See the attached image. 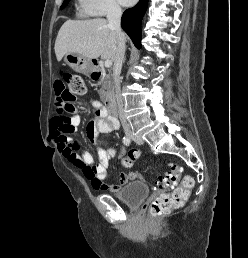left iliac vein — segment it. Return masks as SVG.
Masks as SVG:
<instances>
[{
  "instance_id": "4c4485c4",
  "label": "left iliac vein",
  "mask_w": 248,
  "mask_h": 258,
  "mask_svg": "<svg viewBox=\"0 0 248 258\" xmlns=\"http://www.w3.org/2000/svg\"><path fill=\"white\" fill-rule=\"evenodd\" d=\"M132 140L138 145H142L144 142L140 136H132Z\"/></svg>"
}]
</instances>
